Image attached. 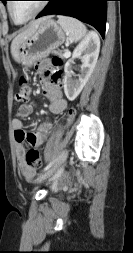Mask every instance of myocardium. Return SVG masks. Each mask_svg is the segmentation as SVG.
I'll return each mask as SVG.
<instances>
[{"instance_id":"myocardium-1","label":"myocardium","mask_w":133,"mask_h":253,"mask_svg":"<svg viewBox=\"0 0 133 253\" xmlns=\"http://www.w3.org/2000/svg\"><path fill=\"white\" fill-rule=\"evenodd\" d=\"M11 3H12L11 1L8 2V4H7V9H8V12H9V15H10L12 21H13L14 23H16V24H24V23H26V22H28V21L34 19V18L37 17V16L44 10V8L46 7V1L43 0V1H41L39 7L36 9V11H35L32 15H30L28 18H26V19H24V20H22V21H17V20L14 18V16H13L12 9H11Z\"/></svg>"}]
</instances>
